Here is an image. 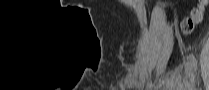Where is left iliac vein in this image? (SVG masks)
<instances>
[{
  "label": "left iliac vein",
  "instance_id": "1",
  "mask_svg": "<svg viewBox=\"0 0 209 90\" xmlns=\"http://www.w3.org/2000/svg\"><path fill=\"white\" fill-rule=\"evenodd\" d=\"M186 70H187V72H188V74L190 76L191 82H194V76L192 74V71H191V68H190V65L189 64L186 65Z\"/></svg>",
  "mask_w": 209,
  "mask_h": 90
}]
</instances>
